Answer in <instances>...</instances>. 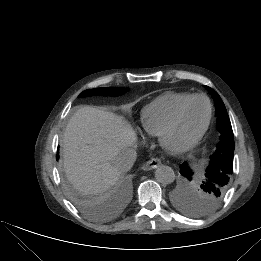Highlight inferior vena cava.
<instances>
[{"label": "inferior vena cava", "instance_id": "inferior-vena-cava-1", "mask_svg": "<svg viewBox=\"0 0 261 261\" xmlns=\"http://www.w3.org/2000/svg\"><path fill=\"white\" fill-rule=\"evenodd\" d=\"M136 158L137 152L134 149H125L116 157L115 167L120 173L127 172L132 168Z\"/></svg>", "mask_w": 261, "mask_h": 261}]
</instances>
